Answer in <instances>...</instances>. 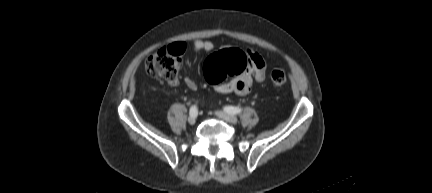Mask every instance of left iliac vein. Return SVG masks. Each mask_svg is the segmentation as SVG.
I'll return each mask as SVG.
<instances>
[{
    "label": "left iliac vein",
    "mask_w": 432,
    "mask_h": 193,
    "mask_svg": "<svg viewBox=\"0 0 432 193\" xmlns=\"http://www.w3.org/2000/svg\"><path fill=\"white\" fill-rule=\"evenodd\" d=\"M215 114L219 118H221L227 122H230V123H236L238 121V118L236 116L229 114V113H226V112H223V111H217V112H215Z\"/></svg>",
    "instance_id": "1"
}]
</instances>
